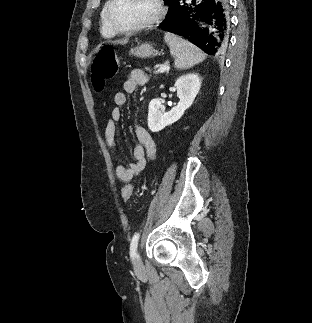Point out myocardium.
I'll list each match as a JSON object with an SVG mask.
<instances>
[{"label": "myocardium", "mask_w": 312, "mask_h": 323, "mask_svg": "<svg viewBox=\"0 0 312 323\" xmlns=\"http://www.w3.org/2000/svg\"><path fill=\"white\" fill-rule=\"evenodd\" d=\"M164 1L166 0H151L152 4H157V6L153 8V16L149 20L150 25H157L158 21H164L168 8ZM120 2L121 0H109L104 12L105 19L110 25V31H146V24L148 23L146 18L141 20H119V18H116L115 13Z\"/></svg>", "instance_id": "obj_1"}]
</instances>
